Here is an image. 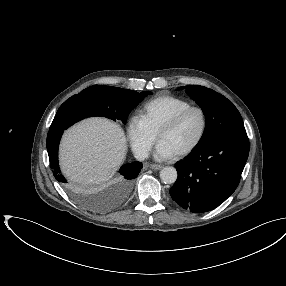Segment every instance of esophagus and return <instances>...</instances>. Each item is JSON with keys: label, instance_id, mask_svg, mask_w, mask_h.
I'll return each mask as SVG.
<instances>
[{"label": "esophagus", "instance_id": "34e87169", "mask_svg": "<svg viewBox=\"0 0 286 286\" xmlns=\"http://www.w3.org/2000/svg\"><path fill=\"white\" fill-rule=\"evenodd\" d=\"M163 166L159 164H150V168L153 170H160Z\"/></svg>", "mask_w": 286, "mask_h": 286}]
</instances>
